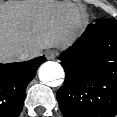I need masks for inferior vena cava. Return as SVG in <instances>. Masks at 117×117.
Wrapping results in <instances>:
<instances>
[{
  "mask_svg": "<svg viewBox=\"0 0 117 117\" xmlns=\"http://www.w3.org/2000/svg\"><path fill=\"white\" fill-rule=\"evenodd\" d=\"M34 50H32V49H30V50H26L25 52H23L22 54H21V57L22 58H27V57H29V56H31V55H34Z\"/></svg>",
  "mask_w": 117,
  "mask_h": 117,
  "instance_id": "inferior-vena-cava-1",
  "label": "inferior vena cava"
}]
</instances>
